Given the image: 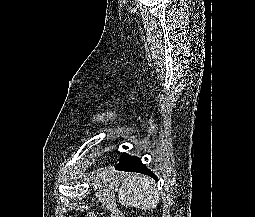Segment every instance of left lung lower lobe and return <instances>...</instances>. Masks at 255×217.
Returning <instances> with one entry per match:
<instances>
[{
    "label": "left lung lower lobe",
    "instance_id": "left-lung-lower-lobe-1",
    "mask_svg": "<svg viewBox=\"0 0 255 217\" xmlns=\"http://www.w3.org/2000/svg\"><path fill=\"white\" fill-rule=\"evenodd\" d=\"M117 170L138 172L151 176L155 180H158L154 173L151 172L146 166L141 162V160L134 156H129L126 153H122L119 163L116 165Z\"/></svg>",
    "mask_w": 255,
    "mask_h": 217
}]
</instances>
